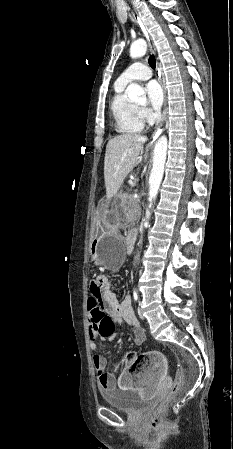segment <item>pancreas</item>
Masks as SVG:
<instances>
[{
    "instance_id": "1",
    "label": "pancreas",
    "mask_w": 233,
    "mask_h": 449,
    "mask_svg": "<svg viewBox=\"0 0 233 449\" xmlns=\"http://www.w3.org/2000/svg\"><path fill=\"white\" fill-rule=\"evenodd\" d=\"M124 198L128 199L130 202H132V207H133V210L135 211V216H136V218H139V216H140V207H139V205L137 203V199H135L132 194H125Z\"/></svg>"
}]
</instances>
